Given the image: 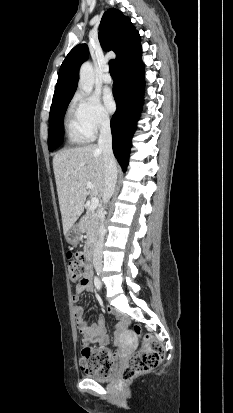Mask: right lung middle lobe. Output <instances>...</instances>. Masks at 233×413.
Instances as JSON below:
<instances>
[{
  "label": "right lung middle lobe",
  "instance_id": "obj_1",
  "mask_svg": "<svg viewBox=\"0 0 233 413\" xmlns=\"http://www.w3.org/2000/svg\"><path fill=\"white\" fill-rule=\"evenodd\" d=\"M71 98H66L51 105L48 131V148L50 151L58 148L63 141V117Z\"/></svg>",
  "mask_w": 233,
  "mask_h": 413
}]
</instances>
